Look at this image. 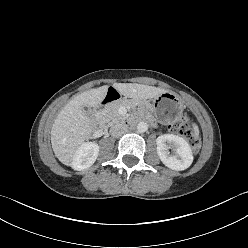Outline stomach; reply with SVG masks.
Instances as JSON below:
<instances>
[{"instance_id":"0dacf381","label":"stomach","mask_w":248,"mask_h":248,"mask_svg":"<svg viewBox=\"0 0 248 248\" xmlns=\"http://www.w3.org/2000/svg\"><path fill=\"white\" fill-rule=\"evenodd\" d=\"M149 111L162 123H171L182 114L183 102L176 94L164 92L153 99Z\"/></svg>"}]
</instances>
